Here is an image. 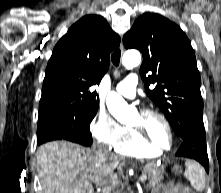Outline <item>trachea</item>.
Instances as JSON below:
<instances>
[{"label":"trachea","instance_id":"obj_1","mask_svg":"<svg viewBox=\"0 0 221 193\" xmlns=\"http://www.w3.org/2000/svg\"><path fill=\"white\" fill-rule=\"evenodd\" d=\"M120 57H121V52L120 50H116L112 55H111V60L115 66H118L120 63Z\"/></svg>","mask_w":221,"mask_h":193}]
</instances>
